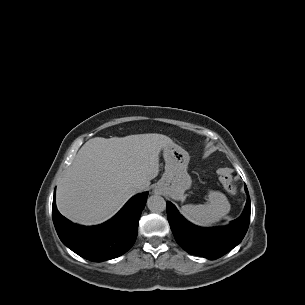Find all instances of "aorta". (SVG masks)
I'll list each match as a JSON object with an SVG mask.
<instances>
[{"label": "aorta", "instance_id": "obj_1", "mask_svg": "<svg viewBox=\"0 0 305 305\" xmlns=\"http://www.w3.org/2000/svg\"><path fill=\"white\" fill-rule=\"evenodd\" d=\"M147 206L151 212L160 213L166 209V202L159 195H152L147 200Z\"/></svg>", "mask_w": 305, "mask_h": 305}]
</instances>
